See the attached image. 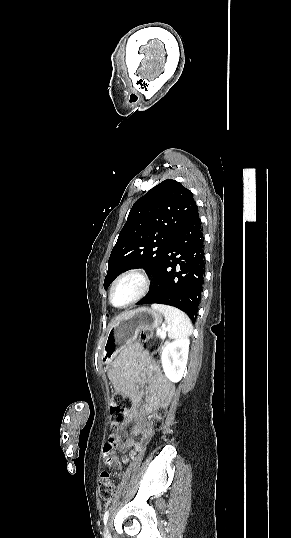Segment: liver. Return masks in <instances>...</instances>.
I'll return each instance as SVG.
<instances>
[{"label": "liver", "instance_id": "1", "mask_svg": "<svg viewBox=\"0 0 291 538\" xmlns=\"http://www.w3.org/2000/svg\"><path fill=\"white\" fill-rule=\"evenodd\" d=\"M129 312H125L123 314H120L119 316H117L114 320H112V322H110V324L108 325V330H110L113 326H115V324L121 320L124 316H126V314H128Z\"/></svg>", "mask_w": 291, "mask_h": 538}]
</instances>
